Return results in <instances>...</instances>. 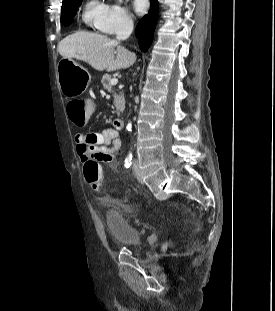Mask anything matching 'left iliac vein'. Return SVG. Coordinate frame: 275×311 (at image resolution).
Listing matches in <instances>:
<instances>
[{"label": "left iliac vein", "mask_w": 275, "mask_h": 311, "mask_svg": "<svg viewBox=\"0 0 275 311\" xmlns=\"http://www.w3.org/2000/svg\"><path fill=\"white\" fill-rule=\"evenodd\" d=\"M133 171H134V174H135V177L136 179L143 183V176L141 174V171H140V168H139V165H138V161L135 160L134 163H133Z\"/></svg>", "instance_id": "obj_1"}]
</instances>
